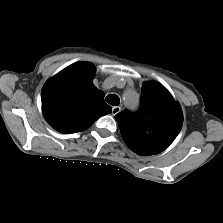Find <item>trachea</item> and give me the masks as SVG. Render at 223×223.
<instances>
[{
    "instance_id": "1",
    "label": "trachea",
    "mask_w": 223,
    "mask_h": 223,
    "mask_svg": "<svg viewBox=\"0 0 223 223\" xmlns=\"http://www.w3.org/2000/svg\"><path fill=\"white\" fill-rule=\"evenodd\" d=\"M106 101L112 106H118L120 103V98L116 94H109L106 96Z\"/></svg>"
}]
</instances>
